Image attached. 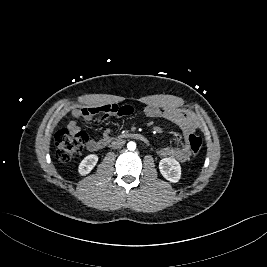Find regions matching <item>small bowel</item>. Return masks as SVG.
I'll return each instance as SVG.
<instances>
[{
	"label": "small bowel",
	"mask_w": 267,
	"mask_h": 267,
	"mask_svg": "<svg viewBox=\"0 0 267 267\" xmlns=\"http://www.w3.org/2000/svg\"><path fill=\"white\" fill-rule=\"evenodd\" d=\"M144 114L149 118H161L175 124L182 132V140L175 146H166L159 149L158 153L161 157H172L179 161H186L190 158L188 147V136L194 134L198 129V124L194 117L190 114L175 110L162 109L156 105H147L144 108ZM133 113V108L129 105L118 106L107 104L102 106L83 107L72 111L73 120L68 124V127L73 131L80 130L79 121H90L97 114L104 116L118 115L128 116ZM111 141L109 130H105L102 136L98 139H90L87 142V149L97 151L104 148Z\"/></svg>",
	"instance_id": "obj_1"
}]
</instances>
